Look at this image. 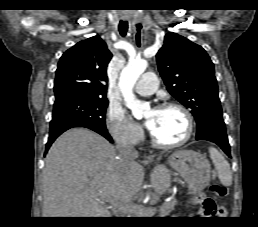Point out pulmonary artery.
<instances>
[{
    "label": "pulmonary artery",
    "mask_w": 258,
    "mask_h": 227,
    "mask_svg": "<svg viewBox=\"0 0 258 227\" xmlns=\"http://www.w3.org/2000/svg\"><path fill=\"white\" fill-rule=\"evenodd\" d=\"M157 78L154 73H145L135 86V91L141 96H150L157 89Z\"/></svg>",
    "instance_id": "obj_1"
}]
</instances>
